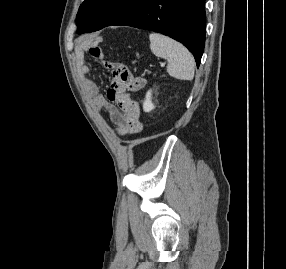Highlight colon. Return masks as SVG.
Returning a JSON list of instances; mask_svg holds the SVG:
<instances>
[{
    "instance_id": "obj_1",
    "label": "colon",
    "mask_w": 286,
    "mask_h": 269,
    "mask_svg": "<svg viewBox=\"0 0 286 269\" xmlns=\"http://www.w3.org/2000/svg\"><path fill=\"white\" fill-rule=\"evenodd\" d=\"M98 46L94 43V48ZM112 71L111 85L117 88V91L122 95H127L124 110H143L142 100H136V91H142V83H147V78H134L135 76L131 71L121 63H116Z\"/></svg>"
}]
</instances>
